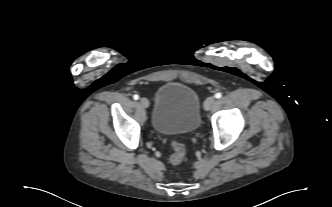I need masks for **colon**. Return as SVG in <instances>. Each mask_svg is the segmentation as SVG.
<instances>
[{
  "label": "colon",
  "instance_id": "1",
  "mask_svg": "<svg viewBox=\"0 0 332 207\" xmlns=\"http://www.w3.org/2000/svg\"><path fill=\"white\" fill-rule=\"evenodd\" d=\"M173 153L170 156V162L174 165L180 164L185 158V147L182 143L178 141H173L171 143Z\"/></svg>",
  "mask_w": 332,
  "mask_h": 207
}]
</instances>
